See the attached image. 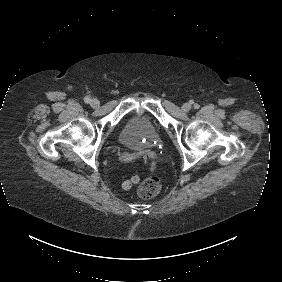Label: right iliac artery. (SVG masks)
<instances>
[{
	"label": "right iliac artery",
	"mask_w": 282,
	"mask_h": 282,
	"mask_svg": "<svg viewBox=\"0 0 282 282\" xmlns=\"http://www.w3.org/2000/svg\"><path fill=\"white\" fill-rule=\"evenodd\" d=\"M84 101H85V103H90L91 99H90V97L87 96V97L84 98Z\"/></svg>",
	"instance_id": "1"
}]
</instances>
